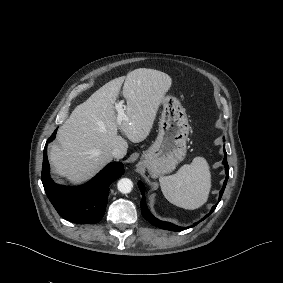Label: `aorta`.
I'll list each match as a JSON object with an SVG mask.
<instances>
[{
	"mask_svg": "<svg viewBox=\"0 0 283 283\" xmlns=\"http://www.w3.org/2000/svg\"><path fill=\"white\" fill-rule=\"evenodd\" d=\"M132 187L133 183L128 178H122L117 183L118 190L123 194L129 193L132 190Z\"/></svg>",
	"mask_w": 283,
	"mask_h": 283,
	"instance_id": "aorta-1",
	"label": "aorta"
}]
</instances>
